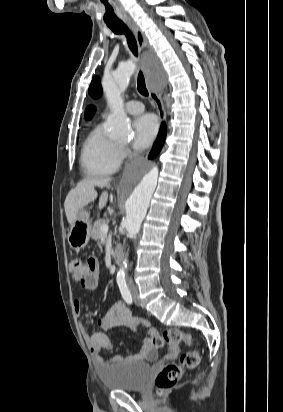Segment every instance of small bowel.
Returning <instances> with one entry per match:
<instances>
[{
  "instance_id": "c3829d8e",
  "label": "small bowel",
  "mask_w": 283,
  "mask_h": 412,
  "mask_svg": "<svg viewBox=\"0 0 283 412\" xmlns=\"http://www.w3.org/2000/svg\"><path fill=\"white\" fill-rule=\"evenodd\" d=\"M100 275L99 269L93 273L88 274L81 280L82 286L90 291H94L99 287ZM73 307L78 317L83 315V304L80 300L75 299L73 301ZM97 325L103 330H110L116 327L127 326L133 329H137L138 326L147 328L148 335H157L158 332L154 329H150V323L143 318L134 317L130 309L121 301L111 306L106 313L97 320ZM82 332L86 339L87 344L90 347L91 354L99 370L104 369L105 360L100 354L102 350H111L113 344L105 333L102 332H90L86 326H82ZM179 353L177 346H171L167 352V358H175ZM155 356L154 346L150 337H146L143 341L142 349L139 353L132 356H114L111 358L112 362H140L144 360H151Z\"/></svg>"
}]
</instances>
